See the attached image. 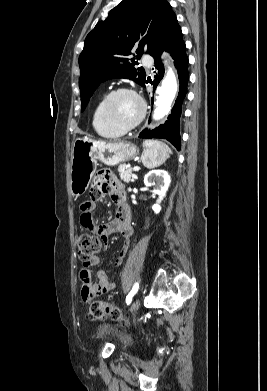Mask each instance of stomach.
I'll return each instance as SVG.
<instances>
[{
  "instance_id": "0dacf381",
  "label": "stomach",
  "mask_w": 267,
  "mask_h": 391,
  "mask_svg": "<svg viewBox=\"0 0 267 391\" xmlns=\"http://www.w3.org/2000/svg\"><path fill=\"white\" fill-rule=\"evenodd\" d=\"M139 154V149L129 142L106 143L88 137L74 141L71 153L70 190L79 197L87 190L97 168V162L108 166L129 161Z\"/></svg>"
}]
</instances>
